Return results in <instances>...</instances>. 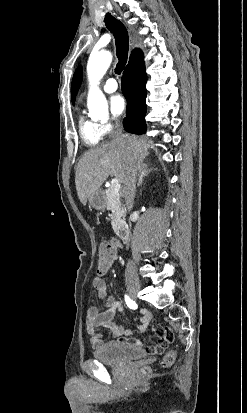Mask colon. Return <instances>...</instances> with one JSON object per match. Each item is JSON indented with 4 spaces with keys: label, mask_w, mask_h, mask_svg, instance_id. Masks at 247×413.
Listing matches in <instances>:
<instances>
[{
    "label": "colon",
    "mask_w": 247,
    "mask_h": 413,
    "mask_svg": "<svg viewBox=\"0 0 247 413\" xmlns=\"http://www.w3.org/2000/svg\"><path fill=\"white\" fill-rule=\"evenodd\" d=\"M116 259V246L109 242H103L96 245V265L100 267L102 274L109 272V260ZM175 359V352H169L162 357L161 364L163 366H170Z\"/></svg>",
    "instance_id": "5ec220e1"
}]
</instances>
